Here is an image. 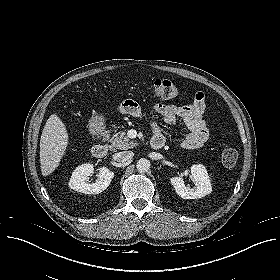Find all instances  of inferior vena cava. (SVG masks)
Listing matches in <instances>:
<instances>
[{
  "label": "inferior vena cava",
  "mask_w": 280,
  "mask_h": 280,
  "mask_svg": "<svg viewBox=\"0 0 280 280\" xmlns=\"http://www.w3.org/2000/svg\"><path fill=\"white\" fill-rule=\"evenodd\" d=\"M133 156H134V153L132 151H123V152L117 153L115 155V158L119 162H126V161H129L130 159H132Z\"/></svg>",
  "instance_id": "inferior-vena-cava-1"
}]
</instances>
